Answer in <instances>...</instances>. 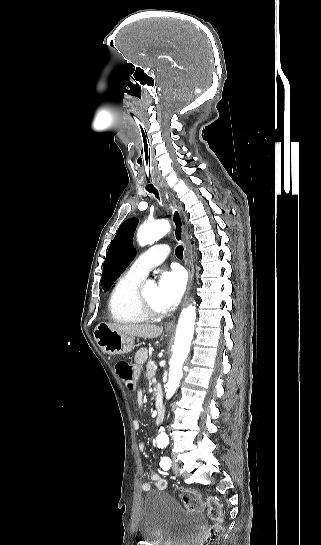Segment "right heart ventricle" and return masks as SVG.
Instances as JSON below:
<instances>
[{
    "instance_id": "right-heart-ventricle-1",
    "label": "right heart ventricle",
    "mask_w": 321,
    "mask_h": 545,
    "mask_svg": "<svg viewBox=\"0 0 321 545\" xmlns=\"http://www.w3.org/2000/svg\"><path fill=\"white\" fill-rule=\"evenodd\" d=\"M142 279L129 272L122 273L116 280L107 303L110 320L123 326L135 325L149 320L134 306V291Z\"/></svg>"
}]
</instances>
